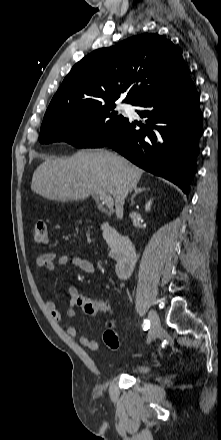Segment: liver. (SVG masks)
I'll use <instances>...</instances> for the list:
<instances>
[{
	"label": "liver",
	"instance_id": "1",
	"mask_svg": "<svg viewBox=\"0 0 221 440\" xmlns=\"http://www.w3.org/2000/svg\"><path fill=\"white\" fill-rule=\"evenodd\" d=\"M143 172L110 151L82 150L69 159H46L33 174L31 190L48 200L61 202L109 193L115 200L116 216L121 219L125 198Z\"/></svg>",
	"mask_w": 221,
	"mask_h": 440
}]
</instances>
